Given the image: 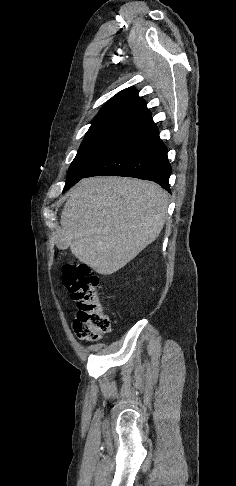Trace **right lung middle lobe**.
<instances>
[{
	"label": "right lung middle lobe",
	"mask_w": 236,
	"mask_h": 486,
	"mask_svg": "<svg viewBox=\"0 0 236 486\" xmlns=\"http://www.w3.org/2000/svg\"><path fill=\"white\" fill-rule=\"evenodd\" d=\"M139 130V125H116L88 131L70 165L63 193L131 140Z\"/></svg>",
	"instance_id": "obj_1"
}]
</instances>
